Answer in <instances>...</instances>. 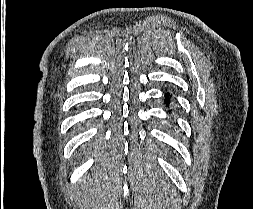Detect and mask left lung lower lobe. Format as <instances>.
Returning <instances> with one entry per match:
<instances>
[{"label": "left lung lower lobe", "mask_w": 253, "mask_h": 209, "mask_svg": "<svg viewBox=\"0 0 253 209\" xmlns=\"http://www.w3.org/2000/svg\"><path fill=\"white\" fill-rule=\"evenodd\" d=\"M170 97H171L170 93H169V92H166V93H165V103H166V106H167V107H168L169 104L171 103ZM169 112H170V110H169Z\"/></svg>", "instance_id": "obj_1"}]
</instances>
